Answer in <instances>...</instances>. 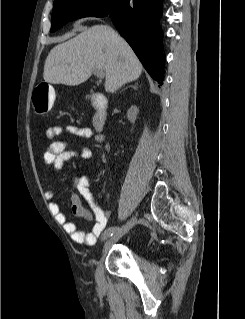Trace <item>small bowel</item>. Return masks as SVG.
I'll use <instances>...</instances> for the list:
<instances>
[{
	"label": "small bowel",
	"instance_id": "small-bowel-1",
	"mask_svg": "<svg viewBox=\"0 0 245 319\" xmlns=\"http://www.w3.org/2000/svg\"><path fill=\"white\" fill-rule=\"evenodd\" d=\"M67 133L78 136L82 139H93V131L88 127H78L75 125L67 126H53L47 129L46 139L49 145L43 155V161L46 165L52 166L55 170H62L65 163L71 159L78 158L87 160L91 157L89 148H82L80 151L70 149L66 142L56 140L62 134ZM93 183V178L88 175L72 177V184L79 194L89 203L90 210L86 209L80 200V197L73 193L70 196L72 213L81 219L94 221L90 232H85L78 228L76 222L68 220L67 215L61 210L60 205L55 202H50L51 212L55 215L58 222H60L64 230L70 235L71 239L79 244L93 245L105 230L111 213L101 207L95 200L90 187ZM44 196L50 200L54 193L52 190H45ZM109 195L105 197V202L108 203Z\"/></svg>",
	"mask_w": 245,
	"mask_h": 319
}]
</instances>
